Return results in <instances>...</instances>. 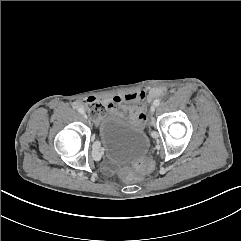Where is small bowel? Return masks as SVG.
Masks as SVG:
<instances>
[{
  "label": "small bowel",
  "mask_w": 241,
  "mask_h": 241,
  "mask_svg": "<svg viewBox=\"0 0 241 241\" xmlns=\"http://www.w3.org/2000/svg\"><path fill=\"white\" fill-rule=\"evenodd\" d=\"M153 93L152 95H156ZM108 107L119 110L123 116L131 121H140L145 123L149 120L150 115L142 107L147 105L146 92L137 90L136 92L126 95L115 96L107 100Z\"/></svg>",
  "instance_id": "1"
}]
</instances>
